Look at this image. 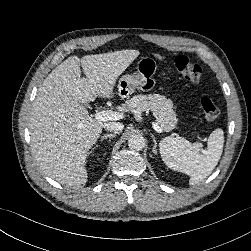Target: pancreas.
<instances>
[{
    "label": "pancreas",
    "instance_id": "1",
    "mask_svg": "<svg viewBox=\"0 0 251 251\" xmlns=\"http://www.w3.org/2000/svg\"><path fill=\"white\" fill-rule=\"evenodd\" d=\"M128 110H150L156 116L160 127L169 132L177 127L176 113L173 111V103L165 96L159 94L136 95L127 101Z\"/></svg>",
    "mask_w": 251,
    "mask_h": 251
}]
</instances>
